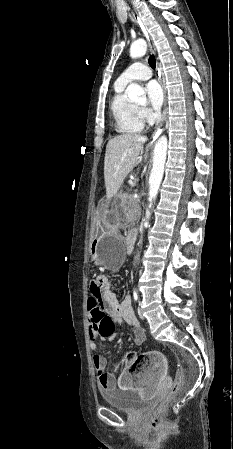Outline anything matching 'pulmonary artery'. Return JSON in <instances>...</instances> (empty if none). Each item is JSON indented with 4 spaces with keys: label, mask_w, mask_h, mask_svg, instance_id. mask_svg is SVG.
Segmentation results:
<instances>
[{
    "label": "pulmonary artery",
    "mask_w": 233,
    "mask_h": 449,
    "mask_svg": "<svg viewBox=\"0 0 233 449\" xmlns=\"http://www.w3.org/2000/svg\"><path fill=\"white\" fill-rule=\"evenodd\" d=\"M151 76V69L141 61H136L120 74L116 82L126 85L134 81L148 80Z\"/></svg>",
    "instance_id": "1"
}]
</instances>
